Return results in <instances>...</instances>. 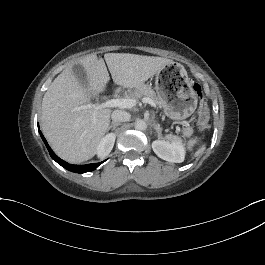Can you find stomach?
Masks as SVG:
<instances>
[{
    "label": "stomach",
    "mask_w": 265,
    "mask_h": 265,
    "mask_svg": "<svg viewBox=\"0 0 265 265\" xmlns=\"http://www.w3.org/2000/svg\"><path fill=\"white\" fill-rule=\"evenodd\" d=\"M155 90L163 102L164 113L176 122L189 117L197 107L192 82L179 63L169 64L156 73Z\"/></svg>",
    "instance_id": "stomach-1"
}]
</instances>
